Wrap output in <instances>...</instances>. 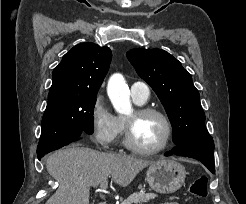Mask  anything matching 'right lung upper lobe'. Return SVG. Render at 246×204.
<instances>
[{
	"mask_svg": "<svg viewBox=\"0 0 246 204\" xmlns=\"http://www.w3.org/2000/svg\"><path fill=\"white\" fill-rule=\"evenodd\" d=\"M111 59V50L106 46L94 43L74 46L53 70L48 101L68 96L97 95Z\"/></svg>",
	"mask_w": 246,
	"mask_h": 204,
	"instance_id": "cb5924a9",
	"label": "right lung upper lobe"
}]
</instances>
